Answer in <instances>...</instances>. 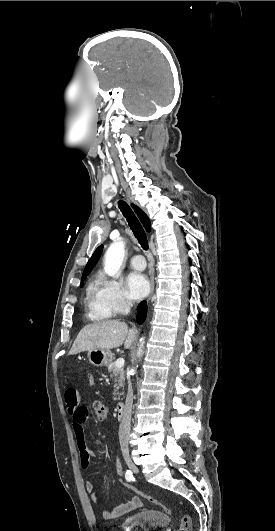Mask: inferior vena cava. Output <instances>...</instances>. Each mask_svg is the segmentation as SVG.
Masks as SVG:
<instances>
[{
    "label": "inferior vena cava",
    "mask_w": 275,
    "mask_h": 531,
    "mask_svg": "<svg viewBox=\"0 0 275 531\" xmlns=\"http://www.w3.org/2000/svg\"><path fill=\"white\" fill-rule=\"evenodd\" d=\"M131 309V301H125L124 303V313L128 315ZM132 405H133V391L132 383L128 381V391L125 403L124 413L122 415V421L119 427V443L121 449H128L130 429H131V415H132Z\"/></svg>",
    "instance_id": "obj_1"
}]
</instances>
